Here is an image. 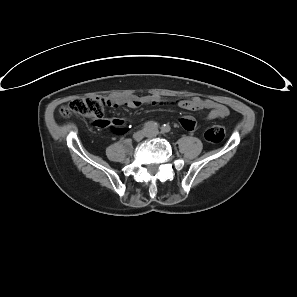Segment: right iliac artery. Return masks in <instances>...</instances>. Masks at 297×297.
<instances>
[{
  "label": "right iliac artery",
  "mask_w": 297,
  "mask_h": 297,
  "mask_svg": "<svg viewBox=\"0 0 297 297\" xmlns=\"http://www.w3.org/2000/svg\"><path fill=\"white\" fill-rule=\"evenodd\" d=\"M144 129L149 130V129H155L158 128V124L154 121H148L144 124Z\"/></svg>",
  "instance_id": "1"
}]
</instances>
